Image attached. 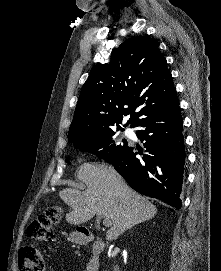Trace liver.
<instances>
[{
    "label": "liver",
    "instance_id": "6515ba94",
    "mask_svg": "<svg viewBox=\"0 0 221 271\" xmlns=\"http://www.w3.org/2000/svg\"><path fill=\"white\" fill-rule=\"evenodd\" d=\"M77 177L86 183L85 191L65 189L59 193L72 209L66 213L68 223L80 225L94 215H109L112 227L108 229L106 239L112 241L126 229L152 219L157 213L156 205L129 187L112 165L82 163Z\"/></svg>",
    "mask_w": 221,
    "mask_h": 271
}]
</instances>
